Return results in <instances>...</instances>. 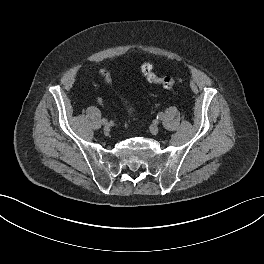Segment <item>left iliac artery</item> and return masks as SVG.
<instances>
[{
  "instance_id": "obj_1",
  "label": "left iliac artery",
  "mask_w": 264,
  "mask_h": 264,
  "mask_svg": "<svg viewBox=\"0 0 264 264\" xmlns=\"http://www.w3.org/2000/svg\"><path fill=\"white\" fill-rule=\"evenodd\" d=\"M163 113L162 112H160V113H158V115H157V119H159V120H161V119H163Z\"/></svg>"
}]
</instances>
